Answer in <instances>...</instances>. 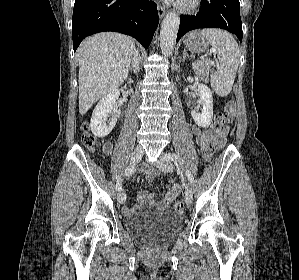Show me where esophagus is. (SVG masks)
<instances>
[{
    "instance_id": "esophagus-1",
    "label": "esophagus",
    "mask_w": 299,
    "mask_h": 280,
    "mask_svg": "<svg viewBox=\"0 0 299 280\" xmlns=\"http://www.w3.org/2000/svg\"><path fill=\"white\" fill-rule=\"evenodd\" d=\"M166 14V9L162 7L161 5L158 6V15L160 18L164 17Z\"/></svg>"
}]
</instances>
